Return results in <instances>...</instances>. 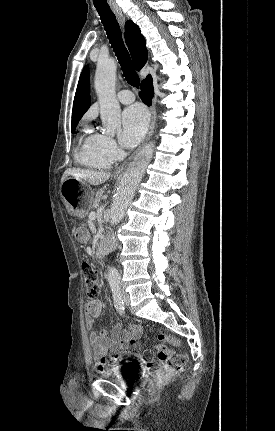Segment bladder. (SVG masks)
Returning <instances> with one entry per match:
<instances>
[{
  "label": "bladder",
  "mask_w": 275,
  "mask_h": 431,
  "mask_svg": "<svg viewBox=\"0 0 275 431\" xmlns=\"http://www.w3.org/2000/svg\"><path fill=\"white\" fill-rule=\"evenodd\" d=\"M129 369L133 368L131 366H116L108 371L102 372L100 375L105 378L114 377L119 381L127 383V372Z\"/></svg>",
  "instance_id": "31cf9c89"
}]
</instances>
